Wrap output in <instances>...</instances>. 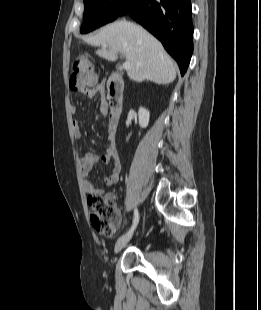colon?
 Listing matches in <instances>:
<instances>
[{
	"label": "colon",
	"mask_w": 261,
	"mask_h": 310,
	"mask_svg": "<svg viewBox=\"0 0 261 310\" xmlns=\"http://www.w3.org/2000/svg\"><path fill=\"white\" fill-rule=\"evenodd\" d=\"M98 80V74L91 60L87 56H77L72 61L70 74V88L74 91L93 87ZM88 205L91 222L95 230L103 235H113L120 224L115 210L113 195H89Z\"/></svg>",
	"instance_id": "obj_1"
}]
</instances>
